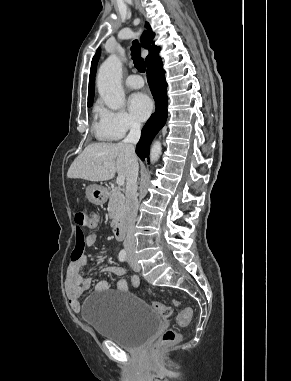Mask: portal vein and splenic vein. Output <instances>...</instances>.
Here are the masks:
<instances>
[{
  "label": "portal vein and splenic vein",
  "instance_id": "1",
  "mask_svg": "<svg viewBox=\"0 0 291 381\" xmlns=\"http://www.w3.org/2000/svg\"><path fill=\"white\" fill-rule=\"evenodd\" d=\"M116 182H117L118 186H122V185H124L125 178L124 177H117Z\"/></svg>",
  "mask_w": 291,
  "mask_h": 381
}]
</instances>
